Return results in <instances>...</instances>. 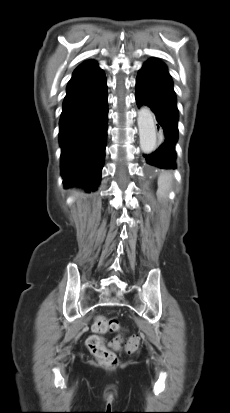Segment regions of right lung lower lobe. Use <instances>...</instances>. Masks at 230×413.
Listing matches in <instances>:
<instances>
[{
  "label": "right lung lower lobe",
  "instance_id": "1",
  "mask_svg": "<svg viewBox=\"0 0 230 413\" xmlns=\"http://www.w3.org/2000/svg\"><path fill=\"white\" fill-rule=\"evenodd\" d=\"M108 103L102 69L72 76L60 118L61 174L66 188L95 191L101 179L107 138Z\"/></svg>",
  "mask_w": 230,
  "mask_h": 413
}]
</instances>
